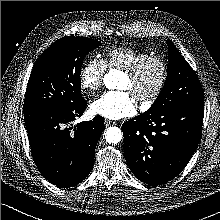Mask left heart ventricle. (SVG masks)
<instances>
[{"label":"left heart ventricle","instance_id":"left-heart-ventricle-1","mask_svg":"<svg viewBox=\"0 0 220 220\" xmlns=\"http://www.w3.org/2000/svg\"><path fill=\"white\" fill-rule=\"evenodd\" d=\"M160 76L159 67L156 64H151L137 79H131L124 75L120 83V88L129 90L137 98L140 93L150 92L157 84Z\"/></svg>","mask_w":220,"mask_h":220}]
</instances>
